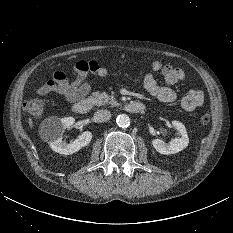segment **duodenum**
Masks as SVG:
<instances>
[{"mask_svg": "<svg viewBox=\"0 0 233 233\" xmlns=\"http://www.w3.org/2000/svg\"><path fill=\"white\" fill-rule=\"evenodd\" d=\"M93 104V99L83 98L76 100L72 108L76 114H86L92 109ZM124 109L129 113H142L145 110V106L139 101H130L124 105Z\"/></svg>", "mask_w": 233, "mask_h": 233, "instance_id": "1", "label": "duodenum"}]
</instances>
